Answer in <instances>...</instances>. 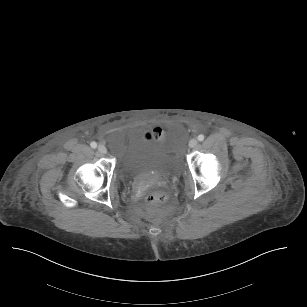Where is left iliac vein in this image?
Masks as SVG:
<instances>
[{
  "instance_id": "left-iliac-vein-1",
  "label": "left iliac vein",
  "mask_w": 307,
  "mask_h": 307,
  "mask_svg": "<svg viewBox=\"0 0 307 307\" xmlns=\"http://www.w3.org/2000/svg\"><path fill=\"white\" fill-rule=\"evenodd\" d=\"M196 145H197V140H196L195 138H192V139L189 141V147H190V148H194Z\"/></svg>"
}]
</instances>
